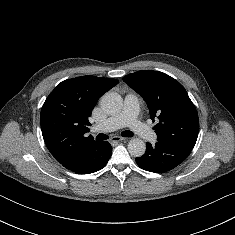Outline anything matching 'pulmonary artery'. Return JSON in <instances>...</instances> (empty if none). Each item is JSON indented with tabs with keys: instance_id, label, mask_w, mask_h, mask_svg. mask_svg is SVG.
I'll use <instances>...</instances> for the list:
<instances>
[{
	"instance_id": "pulmonary-artery-1",
	"label": "pulmonary artery",
	"mask_w": 235,
	"mask_h": 235,
	"mask_svg": "<svg viewBox=\"0 0 235 235\" xmlns=\"http://www.w3.org/2000/svg\"><path fill=\"white\" fill-rule=\"evenodd\" d=\"M139 103L134 94H127L122 110L92 127L94 132H110L128 126L141 137L155 140L156 135L138 119Z\"/></svg>"
}]
</instances>
